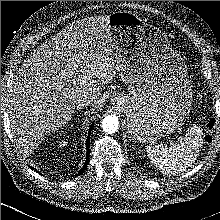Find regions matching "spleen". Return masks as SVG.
Masks as SVG:
<instances>
[{"mask_svg":"<svg viewBox=\"0 0 220 220\" xmlns=\"http://www.w3.org/2000/svg\"><path fill=\"white\" fill-rule=\"evenodd\" d=\"M203 131L194 124L184 137L171 146H148L147 155L165 175H176L190 167L199 156Z\"/></svg>","mask_w":220,"mask_h":220,"instance_id":"spleen-1","label":"spleen"}]
</instances>
